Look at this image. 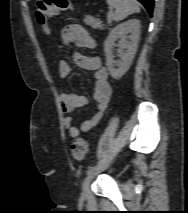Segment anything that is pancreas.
<instances>
[{
  "mask_svg": "<svg viewBox=\"0 0 188 213\" xmlns=\"http://www.w3.org/2000/svg\"><path fill=\"white\" fill-rule=\"evenodd\" d=\"M84 23L94 29H97V28L103 29L102 22L99 19H96L89 15L85 17Z\"/></svg>",
  "mask_w": 188,
  "mask_h": 213,
  "instance_id": "cf45deb5",
  "label": "pancreas"
}]
</instances>
